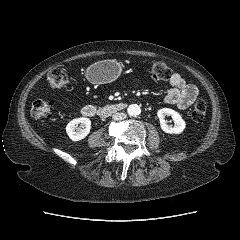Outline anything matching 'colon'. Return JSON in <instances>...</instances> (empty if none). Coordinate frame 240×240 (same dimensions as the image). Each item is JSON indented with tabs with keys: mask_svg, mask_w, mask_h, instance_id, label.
Masks as SVG:
<instances>
[{
	"mask_svg": "<svg viewBox=\"0 0 240 240\" xmlns=\"http://www.w3.org/2000/svg\"><path fill=\"white\" fill-rule=\"evenodd\" d=\"M152 79L157 81L167 80L171 76L170 68L162 61L155 62L151 69ZM49 85L54 89L65 87L69 82V75L63 68H54L48 75ZM56 111L55 105L46 99L38 98L32 104V114L36 118L51 117ZM207 111V103L204 99H199L191 112V118L194 122H202Z\"/></svg>",
	"mask_w": 240,
	"mask_h": 240,
	"instance_id": "1",
	"label": "colon"
}]
</instances>
